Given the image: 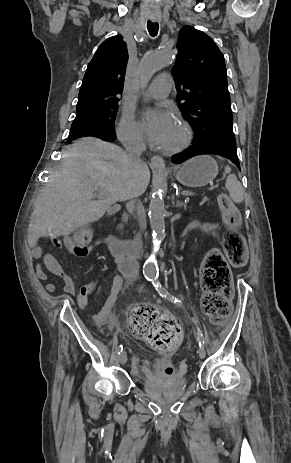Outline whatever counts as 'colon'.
<instances>
[{
    "label": "colon",
    "instance_id": "5ec220e1",
    "mask_svg": "<svg viewBox=\"0 0 291 463\" xmlns=\"http://www.w3.org/2000/svg\"><path fill=\"white\" fill-rule=\"evenodd\" d=\"M218 204L223 222L229 227L223 245L226 257L220 250L212 249L204 258L201 268L202 308L214 323H221L231 312L233 285L228 262L233 266H242L246 261L245 243L236 231L241 221L240 212L225 194L219 195ZM91 238L92 231L80 226L70 237L71 248L81 249ZM130 323L135 335L162 353L172 352L182 338L178 322L151 306L135 307Z\"/></svg>",
    "mask_w": 291,
    "mask_h": 463
}]
</instances>
